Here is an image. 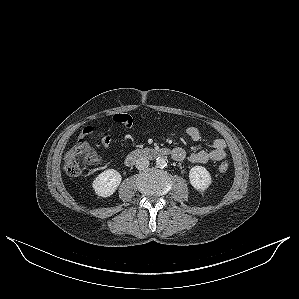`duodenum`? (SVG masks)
Returning a JSON list of instances; mask_svg holds the SVG:
<instances>
[{"label": "duodenum", "instance_id": "duodenum-1", "mask_svg": "<svg viewBox=\"0 0 299 299\" xmlns=\"http://www.w3.org/2000/svg\"><path fill=\"white\" fill-rule=\"evenodd\" d=\"M164 156H174V150L162 147V148H154V147H146L140 148L129 153L125 158V165L131 167L135 164V162L140 158H157Z\"/></svg>", "mask_w": 299, "mask_h": 299}]
</instances>
